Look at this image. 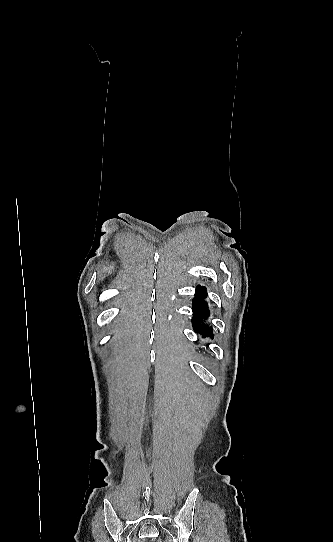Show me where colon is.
Returning a JSON list of instances; mask_svg holds the SVG:
<instances>
[{"mask_svg":"<svg viewBox=\"0 0 333 542\" xmlns=\"http://www.w3.org/2000/svg\"><path fill=\"white\" fill-rule=\"evenodd\" d=\"M148 542H157V540L154 537H151Z\"/></svg>","mask_w":333,"mask_h":542,"instance_id":"colon-1","label":"colon"}]
</instances>
